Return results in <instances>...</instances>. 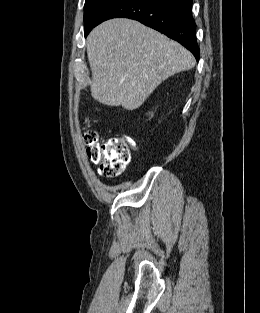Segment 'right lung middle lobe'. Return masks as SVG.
Returning a JSON list of instances; mask_svg holds the SVG:
<instances>
[{
	"label": "right lung middle lobe",
	"instance_id": "right-lung-middle-lobe-1",
	"mask_svg": "<svg viewBox=\"0 0 260 313\" xmlns=\"http://www.w3.org/2000/svg\"><path fill=\"white\" fill-rule=\"evenodd\" d=\"M117 0H86L84 5V33L85 36L96 26L102 15Z\"/></svg>",
	"mask_w": 260,
	"mask_h": 313
}]
</instances>
